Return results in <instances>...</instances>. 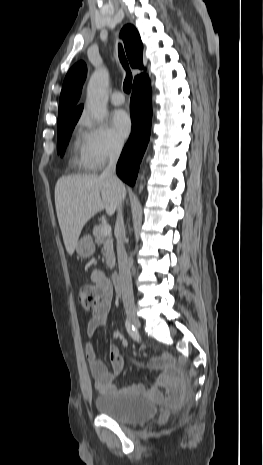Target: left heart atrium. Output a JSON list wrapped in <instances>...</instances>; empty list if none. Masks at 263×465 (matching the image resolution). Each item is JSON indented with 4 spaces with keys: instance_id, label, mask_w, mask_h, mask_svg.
I'll return each instance as SVG.
<instances>
[{
    "instance_id": "1",
    "label": "left heart atrium",
    "mask_w": 263,
    "mask_h": 465,
    "mask_svg": "<svg viewBox=\"0 0 263 465\" xmlns=\"http://www.w3.org/2000/svg\"><path fill=\"white\" fill-rule=\"evenodd\" d=\"M112 126L116 135L125 139L129 136L132 129V121L129 114L124 110H117L112 115Z\"/></svg>"
}]
</instances>
